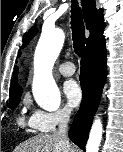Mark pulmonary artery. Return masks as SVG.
<instances>
[{"label":"pulmonary artery","mask_w":123,"mask_h":152,"mask_svg":"<svg viewBox=\"0 0 123 152\" xmlns=\"http://www.w3.org/2000/svg\"><path fill=\"white\" fill-rule=\"evenodd\" d=\"M58 71L64 76H71L75 73V66L71 62H64L58 66Z\"/></svg>","instance_id":"1"}]
</instances>
